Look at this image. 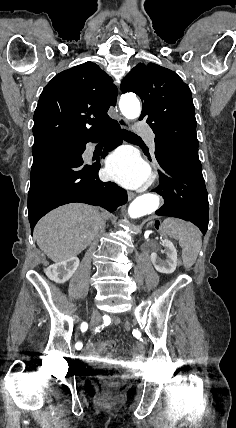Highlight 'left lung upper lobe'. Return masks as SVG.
Wrapping results in <instances>:
<instances>
[{
  "mask_svg": "<svg viewBox=\"0 0 236 428\" xmlns=\"http://www.w3.org/2000/svg\"><path fill=\"white\" fill-rule=\"evenodd\" d=\"M120 88L123 93H136L143 101L140 120H146L156 134L157 161L167 150L199 160L191 91L175 72L155 63H139Z\"/></svg>",
  "mask_w": 236,
  "mask_h": 428,
  "instance_id": "left-lung-upper-lobe-1",
  "label": "left lung upper lobe"
}]
</instances>
